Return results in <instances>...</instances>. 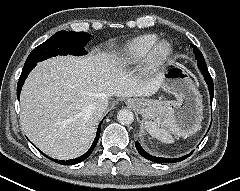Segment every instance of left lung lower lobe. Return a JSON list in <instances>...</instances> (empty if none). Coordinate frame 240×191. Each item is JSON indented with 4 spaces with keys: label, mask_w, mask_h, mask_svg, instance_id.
Wrapping results in <instances>:
<instances>
[{
    "label": "left lung lower lobe",
    "mask_w": 240,
    "mask_h": 191,
    "mask_svg": "<svg viewBox=\"0 0 240 191\" xmlns=\"http://www.w3.org/2000/svg\"><path fill=\"white\" fill-rule=\"evenodd\" d=\"M198 67L199 69L201 70L205 80H206V83L209 87V92H210V99H211V102L213 100V96H214V85H213V80L211 78V75L210 73L208 72L207 70V66H206V63L205 61H201V62H198ZM135 146H136V149L138 150V153L143 156L144 158L146 159H150L152 160L153 162L155 163H175V162H180L182 160H184L185 158L189 157L192 153L186 155V156H183V157H180V158H174V159H168V158H160V157H155V156H151L149 155L147 152L144 151V149L140 146V144L138 142L135 143Z\"/></svg>",
    "instance_id": "0a47b994"
}]
</instances>
